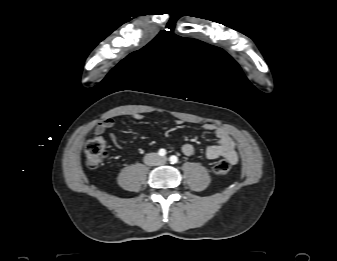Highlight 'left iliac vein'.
I'll list each match as a JSON object with an SVG mask.
<instances>
[{
	"instance_id": "obj_1",
	"label": "left iliac vein",
	"mask_w": 337,
	"mask_h": 261,
	"mask_svg": "<svg viewBox=\"0 0 337 261\" xmlns=\"http://www.w3.org/2000/svg\"><path fill=\"white\" fill-rule=\"evenodd\" d=\"M167 161V158L166 157H163V158H161V162H166Z\"/></svg>"
}]
</instances>
